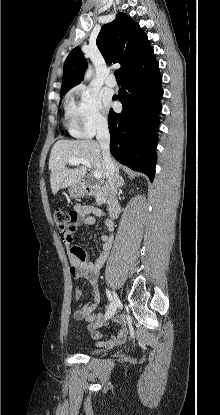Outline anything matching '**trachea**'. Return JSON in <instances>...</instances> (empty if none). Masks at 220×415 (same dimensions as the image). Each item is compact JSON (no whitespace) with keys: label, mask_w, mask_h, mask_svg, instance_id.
I'll return each mask as SVG.
<instances>
[{"label":"trachea","mask_w":220,"mask_h":415,"mask_svg":"<svg viewBox=\"0 0 220 415\" xmlns=\"http://www.w3.org/2000/svg\"><path fill=\"white\" fill-rule=\"evenodd\" d=\"M114 75L116 79H122L121 72L119 70H115Z\"/></svg>","instance_id":"trachea-1"}]
</instances>
